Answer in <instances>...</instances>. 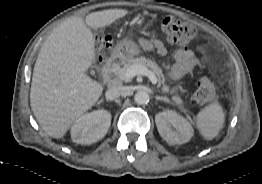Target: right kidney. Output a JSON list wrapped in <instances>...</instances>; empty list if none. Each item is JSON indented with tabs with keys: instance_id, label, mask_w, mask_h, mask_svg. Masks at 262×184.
Listing matches in <instances>:
<instances>
[{
	"instance_id": "right-kidney-1",
	"label": "right kidney",
	"mask_w": 262,
	"mask_h": 184,
	"mask_svg": "<svg viewBox=\"0 0 262 184\" xmlns=\"http://www.w3.org/2000/svg\"><path fill=\"white\" fill-rule=\"evenodd\" d=\"M111 124L110 112L100 109L78 117L71 127L72 141L89 145L102 139Z\"/></svg>"
}]
</instances>
